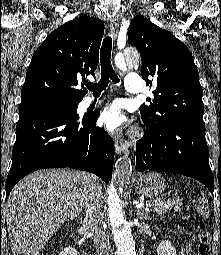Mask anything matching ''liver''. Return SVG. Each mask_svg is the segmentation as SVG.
Listing matches in <instances>:
<instances>
[{
	"mask_svg": "<svg viewBox=\"0 0 221 255\" xmlns=\"http://www.w3.org/2000/svg\"><path fill=\"white\" fill-rule=\"evenodd\" d=\"M91 173L46 169L23 178L11 191L5 207L13 255H39L53 234L77 217L92 184Z\"/></svg>",
	"mask_w": 221,
	"mask_h": 255,
	"instance_id": "6515ba94",
	"label": "liver"
}]
</instances>
